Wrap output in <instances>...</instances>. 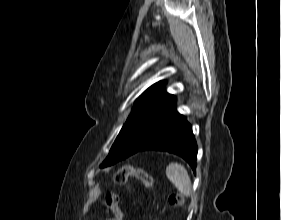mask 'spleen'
I'll return each mask as SVG.
<instances>
[{
	"label": "spleen",
	"mask_w": 281,
	"mask_h": 220,
	"mask_svg": "<svg viewBox=\"0 0 281 220\" xmlns=\"http://www.w3.org/2000/svg\"><path fill=\"white\" fill-rule=\"evenodd\" d=\"M167 178L175 185L180 193L190 196L192 193V185L189 174L185 167L179 163H170L166 167Z\"/></svg>",
	"instance_id": "obj_1"
}]
</instances>
